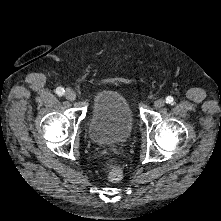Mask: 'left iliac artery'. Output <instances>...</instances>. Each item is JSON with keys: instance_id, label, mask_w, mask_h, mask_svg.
Wrapping results in <instances>:
<instances>
[{"instance_id": "left-iliac-artery-1", "label": "left iliac artery", "mask_w": 221, "mask_h": 221, "mask_svg": "<svg viewBox=\"0 0 221 221\" xmlns=\"http://www.w3.org/2000/svg\"><path fill=\"white\" fill-rule=\"evenodd\" d=\"M172 102H173V97L168 96V97L166 98V103L171 104Z\"/></svg>"}]
</instances>
